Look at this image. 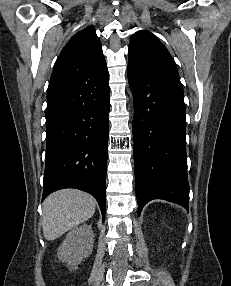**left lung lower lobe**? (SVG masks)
I'll use <instances>...</instances> for the list:
<instances>
[{
	"instance_id": "0a47b994",
	"label": "left lung lower lobe",
	"mask_w": 231,
	"mask_h": 286,
	"mask_svg": "<svg viewBox=\"0 0 231 286\" xmlns=\"http://www.w3.org/2000/svg\"><path fill=\"white\" fill-rule=\"evenodd\" d=\"M134 97V163L138 213L152 199L188 209L185 105L180 82L128 64Z\"/></svg>"
}]
</instances>
